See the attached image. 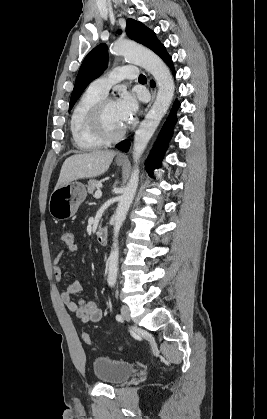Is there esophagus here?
<instances>
[{
	"label": "esophagus",
	"mask_w": 267,
	"mask_h": 419,
	"mask_svg": "<svg viewBox=\"0 0 267 419\" xmlns=\"http://www.w3.org/2000/svg\"><path fill=\"white\" fill-rule=\"evenodd\" d=\"M155 93H153V96H152V99H151V101H150V103L148 104V106H147V108H146V111L150 108V106H151V104H152V102H153V100H154V95ZM118 158L119 159H127V156L125 155V154H119L118 155Z\"/></svg>",
	"instance_id": "esophagus-1"
}]
</instances>
